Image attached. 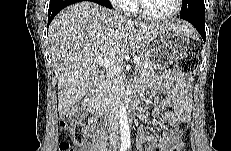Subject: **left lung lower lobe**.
I'll use <instances>...</instances> for the list:
<instances>
[{
  "label": "left lung lower lobe",
  "mask_w": 231,
  "mask_h": 151,
  "mask_svg": "<svg viewBox=\"0 0 231 151\" xmlns=\"http://www.w3.org/2000/svg\"><path fill=\"white\" fill-rule=\"evenodd\" d=\"M180 18L190 22L200 33L204 42L206 40L205 33V5L204 1H196L190 5L186 11L180 13Z\"/></svg>",
  "instance_id": "obj_1"
}]
</instances>
